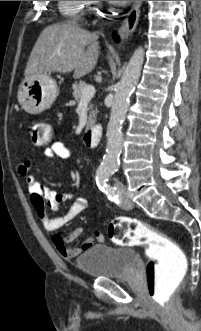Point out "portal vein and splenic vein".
<instances>
[{
	"label": "portal vein and splenic vein",
	"instance_id": "obj_1",
	"mask_svg": "<svg viewBox=\"0 0 201 331\" xmlns=\"http://www.w3.org/2000/svg\"><path fill=\"white\" fill-rule=\"evenodd\" d=\"M95 94V87L92 85H87L82 89V99L91 98Z\"/></svg>",
	"mask_w": 201,
	"mask_h": 331
}]
</instances>
